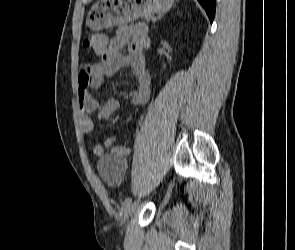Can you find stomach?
I'll use <instances>...</instances> for the list:
<instances>
[{"mask_svg":"<svg viewBox=\"0 0 295 250\" xmlns=\"http://www.w3.org/2000/svg\"><path fill=\"white\" fill-rule=\"evenodd\" d=\"M175 0H99L89 10L86 24L93 31L128 23L153 13H165Z\"/></svg>","mask_w":295,"mask_h":250,"instance_id":"stomach-1","label":"stomach"}]
</instances>
